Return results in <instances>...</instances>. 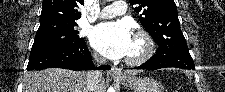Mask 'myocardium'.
Returning a JSON list of instances; mask_svg holds the SVG:
<instances>
[{
	"instance_id": "f54148a6",
	"label": "myocardium",
	"mask_w": 225,
	"mask_h": 92,
	"mask_svg": "<svg viewBox=\"0 0 225 92\" xmlns=\"http://www.w3.org/2000/svg\"><path fill=\"white\" fill-rule=\"evenodd\" d=\"M134 39L142 46V52L136 57H127L125 62L130 66H138L145 63L154 53V41L145 30H138L134 34Z\"/></svg>"
}]
</instances>
